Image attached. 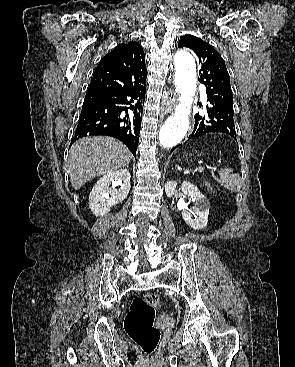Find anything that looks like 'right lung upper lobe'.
Returning <instances> with one entry per match:
<instances>
[{"instance_id": "cb5924a9", "label": "right lung upper lobe", "mask_w": 295, "mask_h": 367, "mask_svg": "<svg viewBox=\"0 0 295 367\" xmlns=\"http://www.w3.org/2000/svg\"><path fill=\"white\" fill-rule=\"evenodd\" d=\"M145 56L137 42L122 43L105 55L97 66L88 91H124L145 86Z\"/></svg>"}]
</instances>
